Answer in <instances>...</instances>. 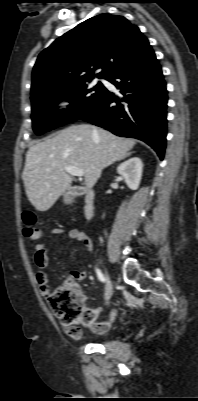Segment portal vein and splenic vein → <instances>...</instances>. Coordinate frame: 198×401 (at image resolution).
<instances>
[{"instance_id":"1","label":"portal vein and splenic vein","mask_w":198,"mask_h":401,"mask_svg":"<svg viewBox=\"0 0 198 401\" xmlns=\"http://www.w3.org/2000/svg\"><path fill=\"white\" fill-rule=\"evenodd\" d=\"M65 170H66L69 174H71V175H73V176H77V177H82V176H84V171H83L82 169H80V168H77V167L67 166V167H65Z\"/></svg>"}]
</instances>
